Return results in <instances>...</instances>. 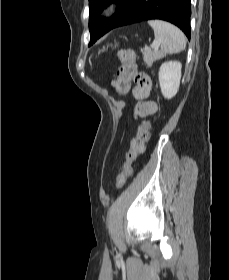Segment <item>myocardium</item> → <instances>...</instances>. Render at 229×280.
Returning a JSON list of instances; mask_svg holds the SVG:
<instances>
[{
    "label": "myocardium",
    "mask_w": 229,
    "mask_h": 280,
    "mask_svg": "<svg viewBox=\"0 0 229 280\" xmlns=\"http://www.w3.org/2000/svg\"><path fill=\"white\" fill-rule=\"evenodd\" d=\"M118 6L114 3L107 4L103 7V13L108 15L116 11Z\"/></svg>",
    "instance_id": "myocardium-1"
}]
</instances>
